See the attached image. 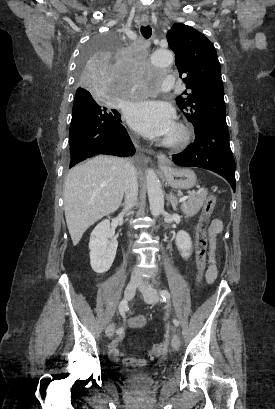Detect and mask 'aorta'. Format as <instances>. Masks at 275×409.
Returning a JSON list of instances; mask_svg holds the SVG:
<instances>
[{
	"instance_id": "aorta-1",
	"label": "aorta",
	"mask_w": 275,
	"mask_h": 409,
	"mask_svg": "<svg viewBox=\"0 0 275 409\" xmlns=\"http://www.w3.org/2000/svg\"><path fill=\"white\" fill-rule=\"evenodd\" d=\"M173 58L174 56L172 52H169V50L147 52V59L149 60L150 65L171 64V62H173ZM146 180L150 211L154 217H158V215L164 211V196L159 178L152 168H148Z\"/></svg>"
}]
</instances>
